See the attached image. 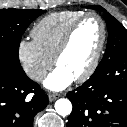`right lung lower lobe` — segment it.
<instances>
[{
  "instance_id": "1",
  "label": "right lung lower lobe",
  "mask_w": 127,
  "mask_h": 127,
  "mask_svg": "<svg viewBox=\"0 0 127 127\" xmlns=\"http://www.w3.org/2000/svg\"><path fill=\"white\" fill-rule=\"evenodd\" d=\"M47 104L48 96L21 66L0 58V127H33L35 114Z\"/></svg>"
}]
</instances>
